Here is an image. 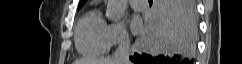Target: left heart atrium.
I'll return each instance as SVG.
<instances>
[{
  "instance_id": "1",
  "label": "left heart atrium",
  "mask_w": 242,
  "mask_h": 64,
  "mask_svg": "<svg viewBox=\"0 0 242 64\" xmlns=\"http://www.w3.org/2000/svg\"><path fill=\"white\" fill-rule=\"evenodd\" d=\"M131 27H132V30L135 33H138V32H140L142 30L141 23H140V21L137 18H133L132 19V21H131Z\"/></svg>"
}]
</instances>
